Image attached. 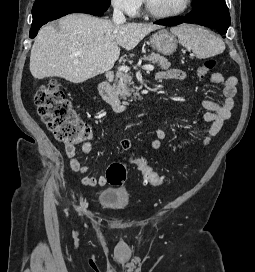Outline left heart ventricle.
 I'll use <instances>...</instances> for the list:
<instances>
[{
  "instance_id": "1",
  "label": "left heart ventricle",
  "mask_w": 255,
  "mask_h": 272,
  "mask_svg": "<svg viewBox=\"0 0 255 272\" xmlns=\"http://www.w3.org/2000/svg\"><path fill=\"white\" fill-rule=\"evenodd\" d=\"M151 8L157 12H173L182 8L186 0H148Z\"/></svg>"
}]
</instances>
